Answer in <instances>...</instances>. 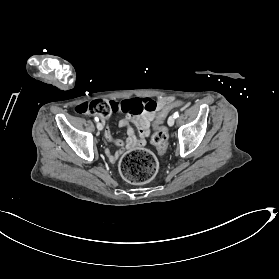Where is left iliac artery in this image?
<instances>
[{
	"instance_id": "1",
	"label": "left iliac artery",
	"mask_w": 279,
	"mask_h": 279,
	"mask_svg": "<svg viewBox=\"0 0 279 279\" xmlns=\"http://www.w3.org/2000/svg\"><path fill=\"white\" fill-rule=\"evenodd\" d=\"M179 116V112L174 113V118H177Z\"/></svg>"
}]
</instances>
